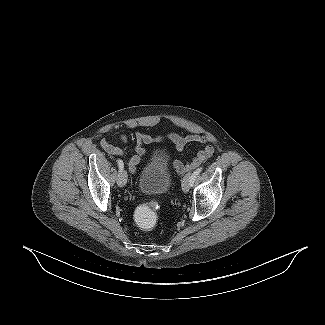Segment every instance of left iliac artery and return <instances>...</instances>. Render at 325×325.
Here are the masks:
<instances>
[{
    "instance_id": "1",
    "label": "left iliac artery",
    "mask_w": 325,
    "mask_h": 325,
    "mask_svg": "<svg viewBox=\"0 0 325 325\" xmlns=\"http://www.w3.org/2000/svg\"><path fill=\"white\" fill-rule=\"evenodd\" d=\"M202 169H203L202 167L196 169V170L193 172V174L191 175V180H190V185H191V186H193V183H194L196 177L200 174V172L202 171Z\"/></svg>"
}]
</instances>
